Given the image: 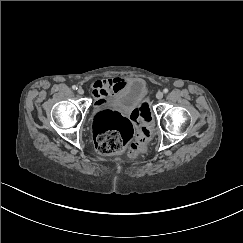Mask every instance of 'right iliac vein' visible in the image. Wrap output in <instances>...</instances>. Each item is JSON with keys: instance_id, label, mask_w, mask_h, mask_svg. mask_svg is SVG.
Masks as SVG:
<instances>
[{"instance_id": "63e3f726", "label": "right iliac vein", "mask_w": 243, "mask_h": 243, "mask_svg": "<svg viewBox=\"0 0 243 243\" xmlns=\"http://www.w3.org/2000/svg\"><path fill=\"white\" fill-rule=\"evenodd\" d=\"M77 92L80 95H83L84 94V90L82 88H78Z\"/></svg>"}]
</instances>
